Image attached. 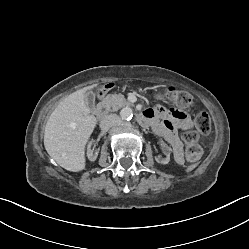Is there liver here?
Here are the masks:
<instances>
[{"label":"liver","mask_w":249,"mask_h":249,"mask_svg":"<svg viewBox=\"0 0 249 249\" xmlns=\"http://www.w3.org/2000/svg\"><path fill=\"white\" fill-rule=\"evenodd\" d=\"M96 85L77 90L65 98L50 115L44 132V146L58 165L72 172L85 169V146L97 120L85 102V94Z\"/></svg>","instance_id":"1"}]
</instances>
